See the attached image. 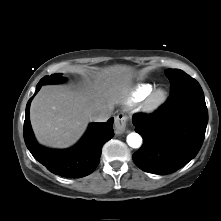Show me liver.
<instances>
[{
	"instance_id": "liver-1",
	"label": "liver",
	"mask_w": 221,
	"mask_h": 221,
	"mask_svg": "<svg viewBox=\"0 0 221 221\" xmlns=\"http://www.w3.org/2000/svg\"><path fill=\"white\" fill-rule=\"evenodd\" d=\"M133 71L115 65L99 72L93 83L77 90L45 86L30 108L32 129L38 142L52 148H67L84 133L91 115L112 109L127 94Z\"/></svg>"
}]
</instances>
